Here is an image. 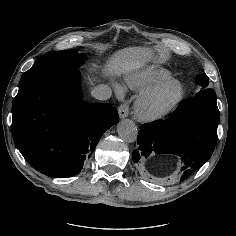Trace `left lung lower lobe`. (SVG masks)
<instances>
[{
    "label": "left lung lower lobe",
    "instance_id": "obj_1",
    "mask_svg": "<svg viewBox=\"0 0 236 236\" xmlns=\"http://www.w3.org/2000/svg\"><path fill=\"white\" fill-rule=\"evenodd\" d=\"M219 118L216 99L205 96L185 99L169 119L140 127L138 146L132 155L134 162H144L151 154L176 155L183 162L184 181L211 157Z\"/></svg>",
    "mask_w": 236,
    "mask_h": 236
}]
</instances>
